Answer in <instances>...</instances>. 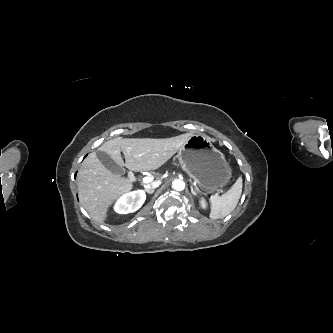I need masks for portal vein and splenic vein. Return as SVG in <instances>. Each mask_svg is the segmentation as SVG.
Listing matches in <instances>:
<instances>
[{"label":"portal vein and splenic vein","mask_w":333,"mask_h":333,"mask_svg":"<svg viewBox=\"0 0 333 333\" xmlns=\"http://www.w3.org/2000/svg\"><path fill=\"white\" fill-rule=\"evenodd\" d=\"M153 181V177L152 176H146L142 179V182L145 183V184H148L150 182Z\"/></svg>","instance_id":"18ae733b"}]
</instances>
